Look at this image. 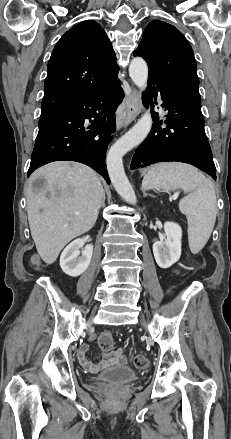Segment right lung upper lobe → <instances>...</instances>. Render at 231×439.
I'll list each match as a JSON object with an SVG mask.
<instances>
[{
    "instance_id": "1",
    "label": "right lung upper lobe",
    "mask_w": 231,
    "mask_h": 439,
    "mask_svg": "<svg viewBox=\"0 0 231 439\" xmlns=\"http://www.w3.org/2000/svg\"><path fill=\"white\" fill-rule=\"evenodd\" d=\"M118 71L115 52L104 29L92 20L77 24L53 49L40 118L107 88Z\"/></svg>"
}]
</instances>
